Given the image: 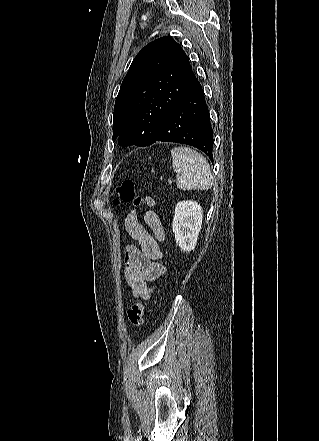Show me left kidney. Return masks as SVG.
I'll return each instance as SVG.
<instances>
[{
    "instance_id": "1",
    "label": "left kidney",
    "mask_w": 319,
    "mask_h": 441,
    "mask_svg": "<svg viewBox=\"0 0 319 441\" xmlns=\"http://www.w3.org/2000/svg\"><path fill=\"white\" fill-rule=\"evenodd\" d=\"M202 220L203 210L197 202L184 200L177 203L172 229L176 244L184 252L188 253L195 248L202 227Z\"/></svg>"
}]
</instances>
